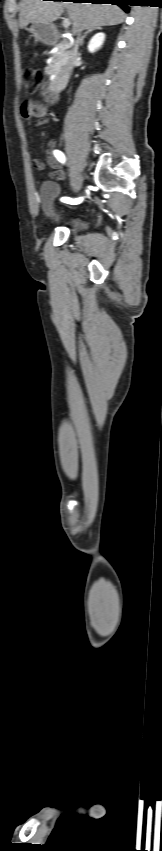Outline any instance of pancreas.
Here are the masks:
<instances>
[{
    "label": "pancreas",
    "mask_w": 162,
    "mask_h": 851,
    "mask_svg": "<svg viewBox=\"0 0 162 851\" xmlns=\"http://www.w3.org/2000/svg\"><path fill=\"white\" fill-rule=\"evenodd\" d=\"M56 52L53 56L52 62L48 65L47 71L49 74L57 75L63 66H65L72 55L71 51L67 50V46L65 43H60L55 46Z\"/></svg>",
    "instance_id": "pancreas-1"
}]
</instances>
